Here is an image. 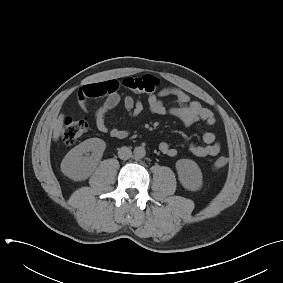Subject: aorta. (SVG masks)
Instances as JSON below:
<instances>
[{
	"label": "aorta",
	"instance_id": "1",
	"mask_svg": "<svg viewBox=\"0 0 283 283\" xmlns=\"http://www.w3.org/2000/svg\"><path fill=\"white\" fill-rule=\"evenodd\" d=\"M133 153H134L135 158L141 159L146 155V150L144 147L138 146V147H135Z\"/></svg>",
	"mask_w": 283,
	"mask_h": 283
}]
</instances>
